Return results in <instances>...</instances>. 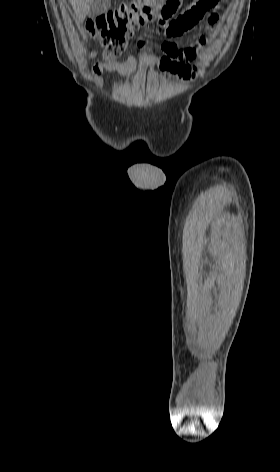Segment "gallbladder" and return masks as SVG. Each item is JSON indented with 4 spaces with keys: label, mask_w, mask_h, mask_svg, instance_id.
<instances>
[{
    "label": "gallbladder",
    "mask_w": 280,
    "mask_h": 472,
    "mask_svg": "<svg viewBox=\"0 0 280 472\" xmlns=\"http://www.w3.org/2000/svg\"><path fill=\"white\" fill-rule=\"evenodd\" d=\"M111 6V0H92L90 6V17H96L106 12Z\"/></svg>",
    "instance_id": "obj_1"
}]
</instances>
